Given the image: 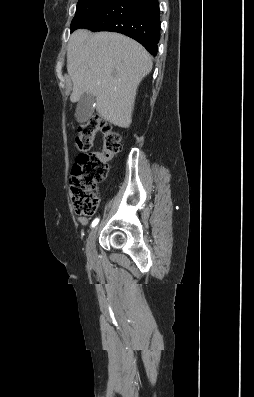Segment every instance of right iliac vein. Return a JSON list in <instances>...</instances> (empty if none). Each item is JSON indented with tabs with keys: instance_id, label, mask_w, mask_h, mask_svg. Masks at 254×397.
I'll use <instances>...</instances> for the list:
<instances>
[{
	"instance_id": "63e3f726",
	"label": "right iliac vein",
	"mask_w": 254,
	"mask_h": 397,
	"mask_svg": "<svg viewBox=\"0 0 254 397\" xmlns=\"http://www.w3.org/2000/svg\"><path fill=\"white\" fill-rule=\"evenodd\" d=\"M97 233H98V227H95L89 237H88V241H87V246H86V253L89 259H94L96 257V238H97Z\"/></svg>"
}]
</instances>
